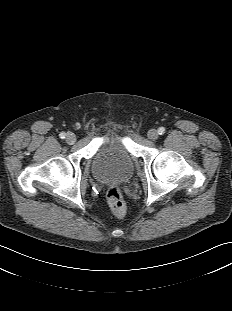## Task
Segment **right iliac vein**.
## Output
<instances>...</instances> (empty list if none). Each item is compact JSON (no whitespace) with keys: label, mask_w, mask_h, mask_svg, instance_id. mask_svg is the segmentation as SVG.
Here are the masks:
<instances>
[{"label":"right iliac vein","mask_w":232,"mask_h":311,"mask_svg":"<svg viewBox=\"0 0 232 311\" xmlns=\"http://www.w3.org/2000/svg\"><path fill=\"white\" fill-rule=\"evenodd\" d=\"M76 141V136L73 133H68L66 135V142L68 144H73Z\"/></svg>","instance_id":"1"}]
</instances>
